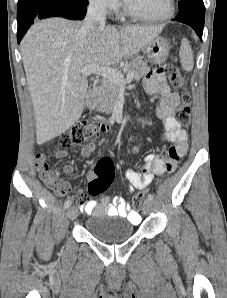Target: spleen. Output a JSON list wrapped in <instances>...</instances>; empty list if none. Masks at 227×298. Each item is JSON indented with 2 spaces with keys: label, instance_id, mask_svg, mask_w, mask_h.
I'll list each match as a JSON object with an SVG mask.
<instances>
[{
  "label": "spleen",
  "instance_id": "obj_1",
  "mask_svg": "<svg viewBox=\"0 0 227 298\" xmlns=\"http://www.w3.org/2000/svg\"><path fill=\"white\" fill-rule=\"evenodd\" d=\"M179 57L182 68L185 71H192L194 66L193 53L189 41L186 38L182 39Z\"/></svg>",
  "mask_w": 227,
  "mask_h": 298
}]
</instances>
